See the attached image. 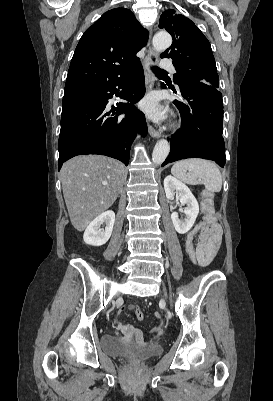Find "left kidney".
Segmentation results:
<instances>
[{"label":"left kidney","instance_id":"5707ae66","mask_svg":"<svg viewBox=\"0 0 273 401\" xmlns=\"http://www.w3.org/2000/svg\"><path fill=\"white\" fill-rule=\"evenodd\" d=\"M164 188L169 201H173L174 196H176L177 201H180L181 205H187L184 211H182V213L186 215L184 221L178 219V213H172L171 215L175 231L180 233V235H185V233H188L191 227H193L199 213V205L196 198L184 182L177 180V178H174L171 174H168V176L164 178Z\"/></svg>","mask_w":273,"mask_h":401}]
</instances>
